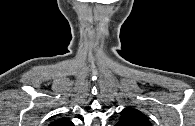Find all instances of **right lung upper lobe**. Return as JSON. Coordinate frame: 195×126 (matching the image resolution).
I'll return each mask as SVG.
<instances>
[{"mask_svg": "<svg viewBox=\"0 0 195 126\" xmlns=\"http://www.w3.org/2000/svg\"><path fill=\"white\" fill-rule=\"evenodd\" d=\"M49 126H73V123L67 118H60L52 122Z\"/></svg>", "mask_w": 195, "mask_h": 126, "instance_id": "cb5924a9", "label": "right lung upper lobe"}]
</instances>
